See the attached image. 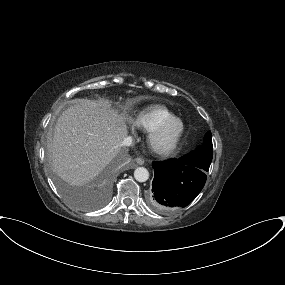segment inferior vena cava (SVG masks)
Wrapping results in <instances>:
<instances>
[{
  "mask_svg": "<svg viewBox=\"0 0 285 285\" xmlns=\"http://www.w3.org/2000/svg\"><path fill=\"white\" fill-rule=\"evenodd\" d=\"M133 143V139L131 136H127L123 139L122 143H121V146H126V147H129L131 146Z\"/></svg>",
  "mask_w": 285,
  "mask_h": 285,
  "instance_id": "inferior-vena-cava-1",
  "label": "inferior vena cava"
}]
</instances>
